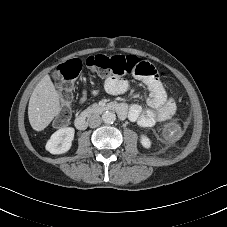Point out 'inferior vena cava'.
Returning <instances> with one entry per match:
<instances>
[{
    "label": "inferior vena cava",
    "mask_w": 227,
    "mask_h": 227,
    "mask_svg": "<svg viewBox=\"0 0 227 227\" xmlns=\"http://www.w3.org/2000/svg\"><path fill=\"white\" fill-rule=\"evenodd\" d=\"M88 122H89V126L91 128H96L98 127L101 122H102V119L99 115H92L89 119H88Z\"/></svg>",
    "instance_id": "1"
}]
</instances>
